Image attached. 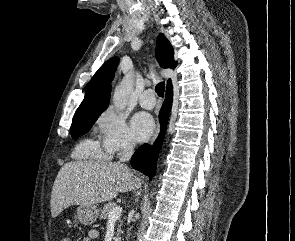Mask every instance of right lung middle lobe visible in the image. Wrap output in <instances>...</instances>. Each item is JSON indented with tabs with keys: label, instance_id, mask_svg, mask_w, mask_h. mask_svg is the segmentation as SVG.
I'll return each mask as SVG.
<instances>
[{
	"label": "right lung middle lobe",
	"instance_id": "dd1d6c3e",
	"mask_svg": "<svg viewBox=\"0 0 295 241\" xmlns=\"http://www.w3.org/2000/svg\"><path fill=\"white\" fill-rule=\"evenodd\" d=\"M106 108L107 106L95 110L77 111L74 115L71 126L72 137L77 138L87 133L90 127Z\"/></svg>",
	"mask_w": 295,
	"mask_h": 241
}]
</instances>
